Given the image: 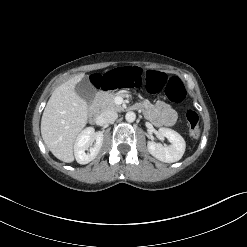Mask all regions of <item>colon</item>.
Returning <instances> with one entry per match:
<instances>
[{"mask_svg":"<svg viewBox=\"0 0 247 247\" xmlns=\"http://www.w3.org/2000/svg\"><path fill=\"white\" fill-rule=\"evenodd\" d=\"M88 84L93 89H111L119 87H144L151 93L164 89L166 97L175 103L181 102L186 95L182 81L177 77H168L158 70H149L138 64H127L107 70H93L88 75ZM189 133L197 137L200 133V119L196 111L188 109L185 114Z\"/></svg>","mask_w":247,"mask_h":247,"instance_id":"5ec220e1","label":"colon"}]
</instances>
